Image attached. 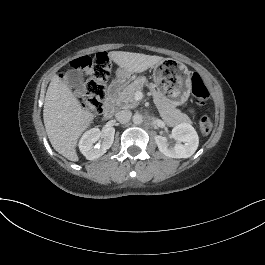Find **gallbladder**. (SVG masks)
Masks as SVG:
<instances>
[{"label":"gallbladder","mask_w":265,"mask_h":265,"mask_svg":"<svg viewBox=\"0 0 265 265\" xmlns=\"http://www.w3.org/2000/svg\"><path fill=\"white\" fill-rule=\"evenodd\" d=\"M64 78L76 90L83 93L87 91L84 84V73L81 70L69 67L65 71Z\"/></svg>","instance_id":"gallbladder-1"}]
</instances>
